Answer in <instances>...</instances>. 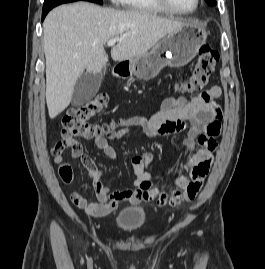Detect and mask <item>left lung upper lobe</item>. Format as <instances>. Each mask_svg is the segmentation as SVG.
I'll return each instance as SVG.
<instances>
[{
	"label": "left lung upper lobe",
	"mask_w": 265,
	"mask_h": 269,
	"mask_svg": "<svg viewBox=\"0 0 265 269\" xmlns=\"http://www.w3.org/2000/svg\"><path fill=\"white\" fill-rule=\"evenodd\" d=\"M208 5L215 6L217 4L216 0H205Z\"/></svg>",
	"instance_id": "obj_1"
}]
</instances>
